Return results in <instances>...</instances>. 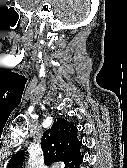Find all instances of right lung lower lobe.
Listing matches in <instances>:
<instances>
[{
    "label": "right lung lower lobe",
    "mask_w": 127,
    "mask_h": 168,
    "mask_svg": "<svg viewBox=\"0 0 127 168\" xmlns=\"http://www.w3.org/2000/svg\"><path fill=\"white\" fill-rule=\"evenodd\" d=\"M82 161H83V158H81L72 168H79Z\"/></svg>",
    "instance_id": "1"
}]
</instances>
